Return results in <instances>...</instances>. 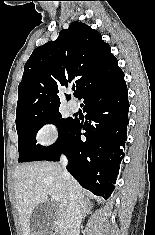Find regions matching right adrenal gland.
I'll use <instances>...</instances> for the list:
<instances>
[{"label":"right adrenal gland","instance_id":"obj_1","mask_svg":"<svg viewBox=\"0 0 155 235\" xmlns=\"http://www.w3.org/2000/svg\"><path fill=\"white\" fill-rule=\"evenodd\" d=\"M92 206L90 204V202L88 201H83L81 203V211H82V218H85V216L91 211Z\"/></svg>","mask_w":155,"mask_h":235}]
</instances>
